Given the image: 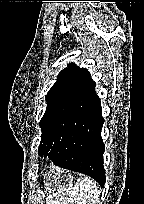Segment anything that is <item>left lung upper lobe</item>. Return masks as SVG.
I'll return each instance as SVG.
<instances>
[{
    "label": "left lung upper lobe",
    "mask_w": 144,
    "mask_h": 204,
    "mask_svg": "<svg viewBox=\"0 0 144 204\" xmlns=\"http://www.w3.org/2000/svg\"><path fill=\"white\" fill-rule=\"evenodd\" d=\"M94 82L85 68L68 64L46 96L47 108L40 121L42 131L38 153L42 157L64 139L71 119Z\"/></svg>",
    "instance_id": "1"
}]
</instances>
